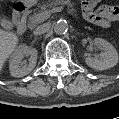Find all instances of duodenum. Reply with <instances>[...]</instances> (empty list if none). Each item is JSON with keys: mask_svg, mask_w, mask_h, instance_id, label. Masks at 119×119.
Masks as SVG:
<instances>
[{"mask_svg": "<svg viewBox=\"0 0 119 119\" xmlns=\"http://www.w3.org/2000/svg\"><path fill=\"white\" fill-rule=\"evenodd\" d=\"M28 15V8L22 3H18L14 10V20L17 24L19 33H23L26 29V19Z\"/></svg>", "mask_w": 119, "mask_h": 119, "instance_id": "duodenum-1", "label": "duodenum"}]
</instances>
